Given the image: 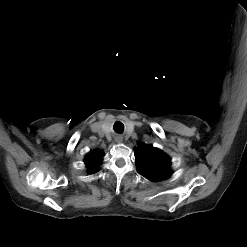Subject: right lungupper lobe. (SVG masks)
<instances>
[{
    "mask_svg": "<svg viewBox=\"0 0 247 247\" xmlns=\"http://www.w3.org/2000/svg\"><path fill=\"white\" fill-rule=\"evenodd\" d=\"M103 153L99 150L92 151L85 157V163L89 168V172L95 173L98 170V165L101 163Z\"/></svg>",
    "mask_w": 247,
    "mask_h": 247,
    "instance_id": "1",
    "label": "right lung upper lobe"
}]
</instances>
